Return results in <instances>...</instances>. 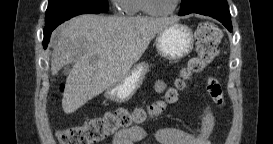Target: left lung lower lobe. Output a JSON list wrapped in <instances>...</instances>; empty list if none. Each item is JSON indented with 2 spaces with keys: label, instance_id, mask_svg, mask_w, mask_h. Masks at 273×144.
I'll use <instances>...</instances> for the list:
<instances>
[{
  "label": "left lung lower lobe",
  "instance_id": "obj_1",
  "mask_svg": "<svg viewBox=\"0 0 273 144\" xmlns=\"http://www.w3.org/2000/svg\"><path fill=\"white\" fill-rule=\"evenodd\" d=\"M195 5L194 9L185 13H179V15L198 13L210 16L222 22L230 32L232 31L231 16L226 0H199V2H195Z\"/></svg>",
  "mask_w": 273,
  "mask_h": 144
}]
</instances>
